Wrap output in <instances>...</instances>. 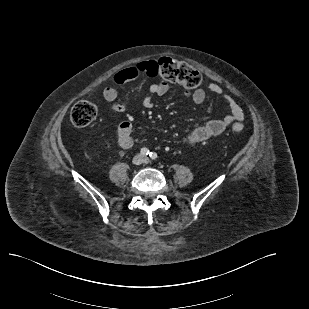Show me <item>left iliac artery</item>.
<instances>
[{"label":"left iliac artery","instance_id":"1","mask_svg":"<svg viewBox=\"0 0 309 309\" xmlns=\"http://www.w3.org/2000/svg\"><path fill=\"white\" fill-rule=\"evenodd\" d=\"M149 156H150V158L151 159H153V160H155L158 156H157V153H155V152H150L149 153Z\"/></svg>","mask_w":309,"mask_h":309}]
</instances>
